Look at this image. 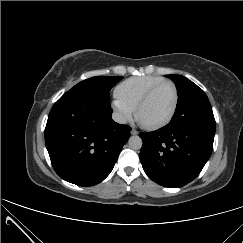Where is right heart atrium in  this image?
I'll return each instance as SVG.
<instances>
[{
    "label": "right heart atrium",
    "mask_w": 243,
    "mask_h": 243,
    "mask_svg": "<svg viewBox=\"0 0 243 243\" xmlns=\"http://www.w3.org/2000/svg\"><path fill=\"white\" fill-rule=\"evenodd\" d=\"M113 109L121 122L129 120L132 116V111L119 101L116 97L112 103Z\"/></svg>",
    "instance_id": "obj_1"
}]
</instances>
